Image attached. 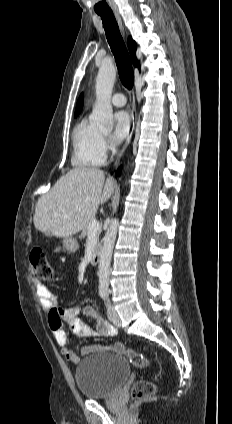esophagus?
<instances>
[{
  "label": "esophagus",
  "mask_w": 232,
  "mask_h": 424,
  "mask_svg": "<svg viewBox=\"0 0 232 424\" xmlns=\"http://www.w3.org/2000/svg\"><path fill=\"white\" fill-rule=\"evenodd\" d=\"M114 14H115V17H116V20L118 22V25H119L120 29L123 30V24H122V20H121V17L119 15V13L118 12H115ZM131 102H132L131 103V129H130V132H129L128 136H127V139L125 141V144H124L122 150L118 154L117 160L115 162V166H117L119 159L122 157L123 153L127 149L128 145H129V143H130V141H131V139H132V137L134 135V132H135L136 122H137V110H136L135 91L134 90L132 91Z\"/></svg>",
  "instance_id": "esophagus-1"
}]
</instances>
